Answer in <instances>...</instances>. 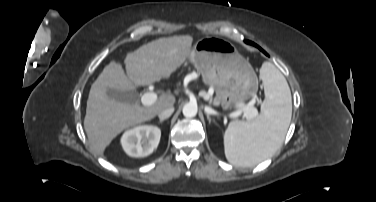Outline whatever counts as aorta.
I'll use <instances>...</instances> for the list:
<instances>
[{
	"mask_svg": "<svg viewBox=\"0 0 376 202\" xmlns=\"http://www.w3.org/2000/svg\"><path fill=\"white\" fill-rule=\"evenodd\" d=\"M182 112H183V115L185 117H194V116H196V114L198 112L197 104L196 103H192V102L186 103L183 106Z\"/></svg>",
	"mask_w": 376,
	"mask_h": 202,
	"instance_id": "762f6f07",
	"label": "aorta"
}]
</instances>
